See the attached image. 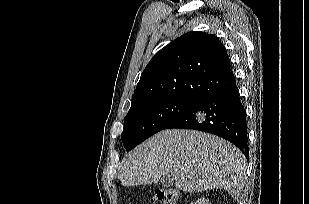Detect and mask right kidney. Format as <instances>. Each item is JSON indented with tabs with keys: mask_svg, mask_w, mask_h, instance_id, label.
<instances>
[{
	"mask_svg": "<svg viewBox=\"0 0 309 204\" xmlns=\"http://www.w3.org/2000/svg\"><path fill=\"white\" fill-rule=\"evenodd\" d=\"M191 204H210L209 201L205 198L198 199L195 202H191Z\"/></svg>",
	"mask_w": 309,
	"mask_h": 204,
	"instance_id": "1",
	"label": "right kidney"
}]
</instances>
